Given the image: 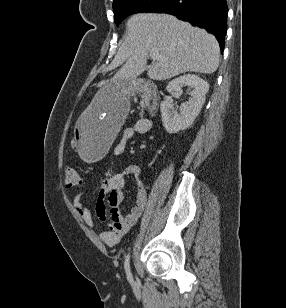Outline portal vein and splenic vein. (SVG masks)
Returning <instances> with one entry per match:
<instances>
[{
  "label": "portal vein and splenic vein",
  "instance_id": "18ae733b",
  "mask_svg": "<svg viewBox=\"0 0 286 308\" xmlns=\"http://www.w3.org/2000/svg\"><path fill=\"white\" fill-rule=\"evenodd\" d=\"M150 57L152 59H162V56L159 54V51L158 50H154V51H151L150 53Z\"/></svg>",
  "mask_w": 286,
  "mask_h": 308
}]
</instances>
